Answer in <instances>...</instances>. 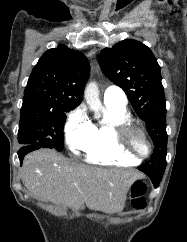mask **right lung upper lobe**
I'll use <instances>...</instances> for the list:
<instances>
[{"label": "right lung upper lobe", "instance_id": "right-lung-upper-lobe-1", "mask_svg": "<svg viewBox=\"0 0 187 242\" xmlns=\"http://www.w3.org/2000/svg\"><path fill=\"white\" fill-rule=\"evenodd\" d=\"M90 65L78 50L65 45L46 51L34 66L21 110L70 111L83 99Z\"/></svg>", "mask_w": 187, "mask_h": 242}]
</instances>
